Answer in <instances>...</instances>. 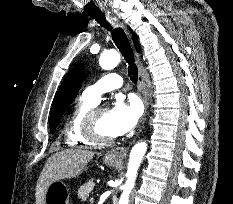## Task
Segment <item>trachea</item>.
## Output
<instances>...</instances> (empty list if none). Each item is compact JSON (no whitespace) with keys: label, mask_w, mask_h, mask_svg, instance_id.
Returning a JSON list of instances; mask_svg holds the SVG:
<instances>
[{"label":"trachea","mask_w":233,"mask_h":204,"mask_svg":"<svg viewBox=\"0 0 233 204\" xmlns=\"http://www.w3.org/2000/svg\"><path fill=\"white\" fill-rule=\"evenodd\" d=\"M94 18L102 27H105L111 32L113 41L125 61L128 63V75L133 83H137L138 69L135 64L134 53L131 48L127 35L122 28L112 29V26L106 21L105 15L102 12H94L89 14Z\"/></svg>","instance_id":"trachea-1"}]
</instances>
